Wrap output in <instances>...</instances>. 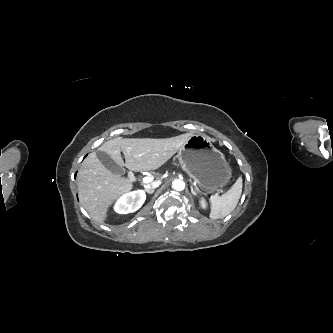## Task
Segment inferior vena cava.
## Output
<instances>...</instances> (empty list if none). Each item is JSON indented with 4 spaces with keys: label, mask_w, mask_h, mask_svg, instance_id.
Here are the masks:
<instances>
[{
    "label": "inferior vena cava",
    "mask_w": 333,
    "mask_h": 333,
    "mask_svg": "<svg viewBox=\"0 0 333 333\" xmlns=\"http://www.w3.org/2000/svg\"><path fill=\"white\" fill-rule=\"evenodd\" d=\"M161 184V181H155L151 184H148V185H144V188L147 190V189H155L157 188L159 185Z\"/></svg>",
    "instance_id": "obj_1"
}]
</instances>
